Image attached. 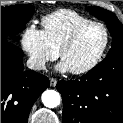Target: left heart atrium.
<instances>
[{
  "instance_id": "obj_1",
  "label": "left heart atrium",
  "mask_w": 123,
  "mask_h": 123,
  "mask_svg": "<svg viewBox=\"0 0 123 123\" xmlns=\"http://www.w3.org/2000/svg\"><path fill=\"white\" fill-rule=\"evenodd\" d=\"M57 70H59L60 72H68V71H70V68H69L68 65L62 60V61L58 64Z\"/></svg>"
}]
</instances>
